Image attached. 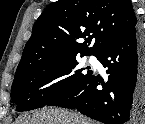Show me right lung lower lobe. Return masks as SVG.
Masks as SVG:
<instances>
[{
  "label": "right lung lower lobe",
  "mask_w": 145,
  "mask_h": 124,
  "mask_svg": "<svg viewBox=\"0 0 145 124\" xmlns=\"http://www.w3.org/2000/svg\"><path fill=\"white\" fill-rule=\"evenodd\" d=\"M108 80L91 74L47 106L76 108L105 124H134L145 109V35L137 25L96 55ZM102 89H98V85Z\"/></svg>",
  "instance_id": "1"
}]
</instances>
